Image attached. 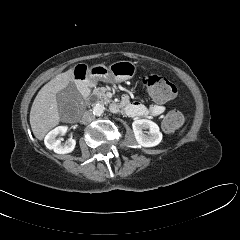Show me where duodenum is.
Returning <instances> with one entry per match:
<instances>
[{"mask_svg": "<svg viewBox=\"0 0 240 240\" xmlns=\"http://www.w3.org/2000/svg\"><path fill=\"white\" fill-rule=\"evenodd\" d=\"M77 86H78V90L80 91V93L82 94L83 97H87L89 95L90 80L87 76L81 75V76L77 77ZM110 109L113 112H118L120 110V105L116 104V103H112L110 105Z\"/></svg>", "mask_w": 240, "mask_h": 240, "instance_id": "1", "label": "duodenum"}]
</instances>
